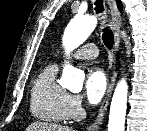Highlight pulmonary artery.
Segmentation results:
<instances>
[{"instance_id":"1","label":"pulmonary artery","mask_w":147,"mask_h":131,"mask_svg":"<svg viewBox=\"0 0 147 131\" xmlns=\"http://www.w3.org/2000/svg\"><path fill=\"white\" fill-rule=\"evenodd\" d=\"M98 48L95 44H85L74 53L73 57L76 59H95L98 57Z\"/></svg>"}]
</instances>
